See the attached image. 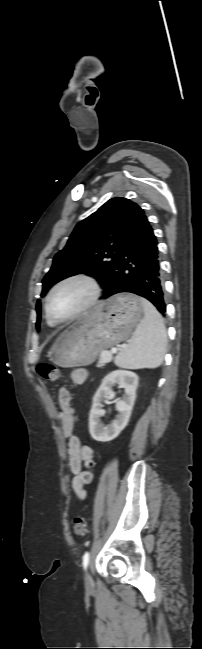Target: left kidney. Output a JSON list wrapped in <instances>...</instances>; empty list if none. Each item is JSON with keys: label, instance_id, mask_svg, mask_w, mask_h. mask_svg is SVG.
I'll return each instance as SVG.
<instances>
[{"label": "left kidney", "instance_id": "left-kidney-1", "mask_svg": "<svg viewBox=\"0 0 202 649\" xmlns=\"http://www.w3.org/2000/svg\"><path fill=\"white\" fill-rule=\"evenodd\" d=\"M115 385L124 388L122 399L116 402L119 413L111 424L104 425L100 423V418L105 414L102 401L111 399L114 393L112 388ZM137 386L138 375L132 371L115 370L105 376L93 397L89 415V432L93 439L101 442L111 441L126 427L135 402Z\"/></svg>", "mask_w": 202, "mask_h": 649}]
</instances>
